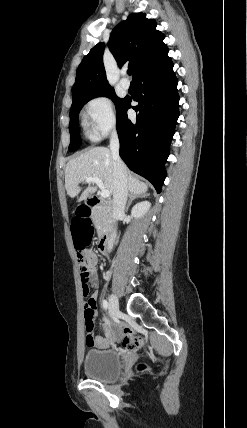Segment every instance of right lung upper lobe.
<instances>
[{"label": "right lung upper lobe", "mask_w": 247, "mask_h": 428, "mask_svg": "<svg viewBox=\"0 0 247 428\" xmlns=\"http://www.w3.org/2000/svg\"><path fill=\"white\" fill-rule=\"evenodd\" d=\"M157 23L144 13H133L111 32L108 47L119 67L132 69L133 80L143 71L161 62L168 54L165 35ZM104 43H98L82 60L72 89L73 102L97 92L112 89L103 65Z\"/></svg>", "instance_id": "cb5924a9"}]
</instances>
